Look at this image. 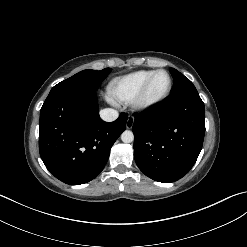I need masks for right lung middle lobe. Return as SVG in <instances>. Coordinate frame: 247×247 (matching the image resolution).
<instances>
[{
	"instance_id": "right-lung-middle-lobe-1",
	"label": "right lung middle lobe",
	"mask_w": 247,
	"mask_h": 247,
	"mask_svg": "<svg viewBox=\"0 0 247 247\" xmlns=\"http://www.w3.org/2000/svg\"><path fill=\"white\" fill-rule=\"evenodd\" d=\"M111 68H105L100 71L83 70L72 77L58 83L50 93L63 90H82L96 92L101 82L111 72Z\"/></svg>"
}]
</instances>
